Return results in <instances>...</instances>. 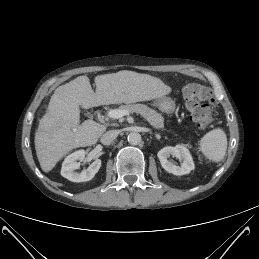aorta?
I'll use <instances>...</instances> for the list:
<instances>
[{
    "mask_svg": "<svg viewBox=\"0 0 259 259\" xmlns=\"http://www.w3.org/2000/svg\"><path fill=\"white\" fill-rule=\"evenodd\" d=\"M127 139L131 145H139L142 141L141 135L138 132L129 133Z\"/></svg>",
    "mask_w": 259,
    "mask_h": 259,
    "instance_id": "1",
    "label": "aorta"
}]
</instances>
